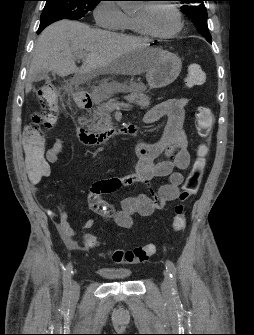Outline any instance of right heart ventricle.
I'll return each instance as SVG.
<instances>
[{
  "mask_svg": "<svg viewBox=\"0 0 254 335\" xmlns=\"http://www.w3.org/2000/svg\"><path fill=\"white\" fill-rule=\"evenodd\" d=\"M123 30L135 34H142V31L138 27L134 17H127V21L125 23Z\"/></svg>",
  "mask_w": 254,
  "mask_h": 335,
  "instance_id": "obj_1",
  "label": "right heart ventricle"
}]
</instances>
